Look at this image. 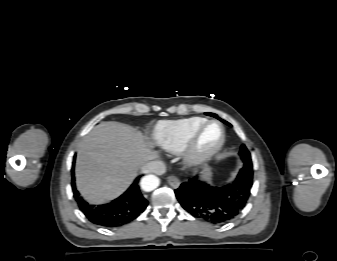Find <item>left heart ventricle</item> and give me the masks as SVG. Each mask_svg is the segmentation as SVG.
I'll use <instances>...</instances> for the list:
<instances>
[{"label": "left heart ventricle", "mask_w": 337, "mask_h": 261, "mask_svg": "<svg viewBox=\"0 0 337 261\" xmlns=\"http://www.w3.org/2000/svg\"><path fill=\"white\" fill-rule=\"evenodd\" d=\"M220 139V130L216 125L208 126L200 135L198 140V149L207 151L214 147Z\"/></svg>", "instance_id": "b2bd125f"}]
</instances>
